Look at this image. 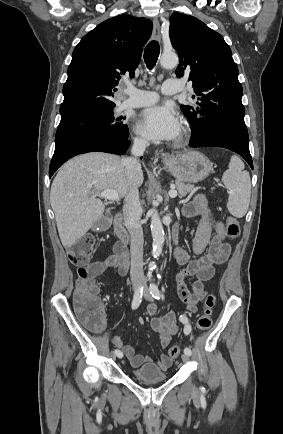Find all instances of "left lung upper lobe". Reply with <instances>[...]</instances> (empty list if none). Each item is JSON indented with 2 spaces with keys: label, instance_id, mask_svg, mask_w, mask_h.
Masks as SVG:
<instances>
[{
  "label": "left lung upper lobe",
  "instance_id": "left-lung-upper-lobe-1",
  "mask_svg": "<svg viewBox=\"0 0 283 434\" xmlns=\"http://www.w3.org/2000/svg\"><path fill=\"white\" fill-rule=\"evenodd\" d=\"M169 36L180 59L176 75L188 77L196 94L197 105H181L192 126L190 141L226 136L249 142L238 68L223 37L181 13L170 18Z\"/></svg>",
  "mask_w": 283,
  "mask_h": 434
}]
</instances>
